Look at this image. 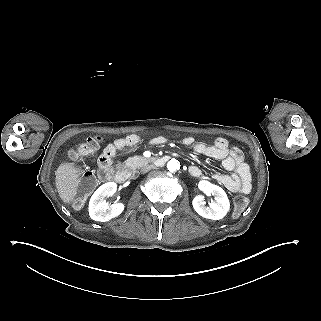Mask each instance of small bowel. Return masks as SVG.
Wrapping results in <instances>:
<instances>
[{
	"label": "small bowel",
	"instance_id": "small-bowel-1",
	"mask_svg": "<svg viewBox=\"0 0 321 321\" xmlns=\"http://www.w3.org/2000/svg\"><path fill=\"white\" fill-rule=\"evenodd\" d=\"M141 141V137L137 134H131L124 138L117 139L107 144L99 158V174L101 176H110L112 171L110 168L111 159L117 152L127 147L136 145ZM167 141L163 136H157L150 140L153 145H162ZM182 143L190 146L198 153L209 158L219 160L222 167L231 172V174L214 173L212 178L235 193H248L251 190V172L248 164L244 161L243 154L240 149L231 147L224 138H217L211 145L201 142H195L192 137H185ZM189 173L194 177L201 175V170L196 166L189 168Z\"/></svg>",
	"mask_w": 321,
	"mask_h": 321
}]
</instances>
